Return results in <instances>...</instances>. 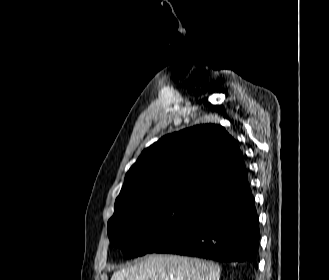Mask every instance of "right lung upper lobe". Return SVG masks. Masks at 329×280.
I'll list each match as a JSON object with an SVG mask.
<instances>
[{
  "label": "right lung upper lobe",
  "instance_id": "cb5924a9",
  "mask_svg": "<svg viewBox=\"0 0 329 280\" xmlns=\"http://www.w3.org/2000/svg\"><path fill=\"white\" fill-rule=\"evenodd\" d=\"M244 167L238 142L217 124L165 135L145 149L125 176L115 204L179 195L202 197Z\"/></svg>",
  "mask_w": 329,
  "mask_h": 280
}]
</instances>
